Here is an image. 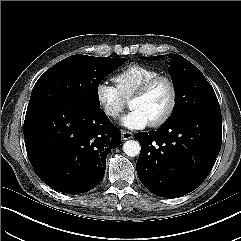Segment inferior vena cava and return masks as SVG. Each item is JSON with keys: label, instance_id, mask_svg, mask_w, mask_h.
Returning <instances> with one entry per match:
<instances>
[{"label": "inferior vena cava", "instance_id": "602c4592", "mask_svg": "<svg viewBox=\"0 0 241 241\" xmlns=\"http://www.w3.org/2000/svg\"><path fill=\"white\" fill-rule=\"evenodd\" d=\"M112 115H117V113H115V112H112Z\"/></svg>", "mask_w": 241, "mask_h": 241}]
</instances>
